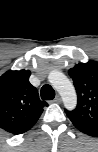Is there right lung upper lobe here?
Listing matches in <instances>:
<instances>
[{"instance_id": "right-lung-upper-lobe-1", "label": "right lung upper lobe", "mask_w": 98, "mask_h": 152, "mask_svg": "<svg viewBox=\"0 0 98 152\" xmlns=\"http://www.w3.org/2000/svg\"><path fill=\"white\" fill-rule=\"evenodd\" d=\"M30 75L29 70H9L0 77V128L14 135L29 130L48 106L30 84Z\"/></svg>"}]
</instances>
